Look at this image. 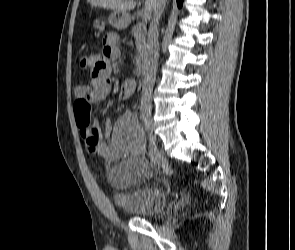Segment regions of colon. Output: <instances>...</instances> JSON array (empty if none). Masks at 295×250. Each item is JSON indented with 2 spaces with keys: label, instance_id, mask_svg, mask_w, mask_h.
I'll return each mask as SVG.
<instances>
[{
  "label": "colon",
  "instance_id": "1",
  "mask_svg": "<svg viewBox=\"0 0 295 250\" xmlns=\"http://www.w3.org/2000/svg\"><path fill=\"white\" fill-rule=\"evenodd\" d=\"M80 66L83 69H89L93 66V58L91 54H85L80 59ZM74 112L76 122L79 127L86 128L90 126L92 107L88 100L80 99L76 100L74 104Z\"/></svg>",
  "mask_w": 295,
  "mask_h": 250
}]
</instances>
